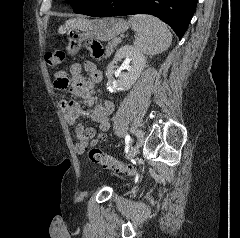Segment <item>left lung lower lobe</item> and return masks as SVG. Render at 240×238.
<instances>
[{
    "label": "left lung lower lobe",
    "mask_w": 240,
    "mask_h": 238,
    "mask_svg": "<svg viewBox=\"0 0 240 238\" xmlns=\"http://www.w3.org/2000/svg\"><path fill=\"white\" fill-rule=\"evenodd\" d=\"M198 0H96L79 12L92 17L150 14L166 22L181 39Z\"/></svg>",
    "instance_id": "left-lung-lower-lobe-1"
}]
</instances>
